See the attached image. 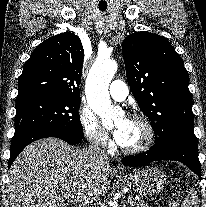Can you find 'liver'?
<instances>
[{"mask_svg": "<svg viewBox=\"0 0 206 207\" xmlns=\"http://www.w3.org/2000/svg\"><path fill=\"white\" fill-rule=\"evenodd\" d=\"M107 161L94 160L87 149L58 138L28 145L9 171L11 207H67L68 193L84 201L104 196L110 187ZM67 193V195H66Z\"/></svg>", "mask_w": 206, "mask_h": 207, "instance_id": "1", "label": "liver"}]
</instances>
